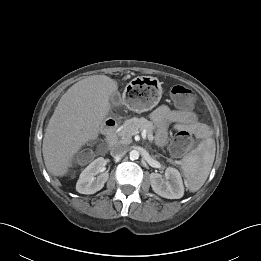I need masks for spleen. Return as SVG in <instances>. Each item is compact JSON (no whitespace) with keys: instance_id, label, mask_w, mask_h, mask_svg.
<instances>
[{"instance_id":"3e777b00","label":"spleen","mask_w":261,"mask_h":261,"mask_svg":"<svg viewBox=\"0 0 261 261\" xmlns=\"http://www.w3.org/2000/svg\"><path fill=\"white\" fill-rule=\"evenodd\" d=\"M215 141L212 138L203 140L191 153L182 160L185 186L191 191H198L211 171L215 158Z\"/></svg>"}]
</instances>
